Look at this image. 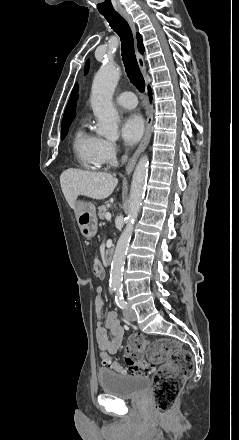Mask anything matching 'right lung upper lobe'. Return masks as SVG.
I'll use <instances>...</instances> for the list:
<instances>
[{"label": "right lung upper lobe", "mask_w": 239, "mask_h": 440, "mask_svg": "<svg viewBox=\"0 0 239 440\" xmlns=\"http://www.w3.org/2000/svg\"><path fill=\"white\" fill-rule=\"evenodd\" d=\"M137 41H138L139 51L141 53H143L144 46H143V42H142V38H141L140 34H137ZM77 97H78V95H77V84H76L74 86V88H73V91L71 93L69 102H68L67 107H66L65 112H64V117H63V120H62V127L70 124L73 121V119L75 117V114H76L75 113V110H76L75 109V102L77 100Z\"/></svg>", "instance_id": "obj_1"}]
</instances>
